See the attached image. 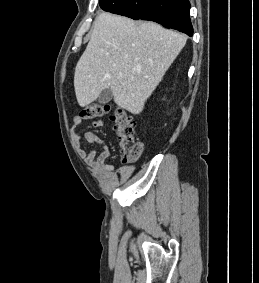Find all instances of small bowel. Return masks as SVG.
<instances>
[{
    "label": "small bowel",
    "instance_id": "obj_1",
    "mask_svg": "<svg viewBox=\"0 0 259 283\" xmlns=\"http://www.w3.org/2000/svg\"><path fill=\"white\" fill-rule=\"evenodd\" d=\"M82 124V118L80 116H75L72 120L73 128H78ZM103 122L101 120L96 121L94 125L100 126ZM74 138L79 140V135L74 134ZM84 139L89 144L93 145L95 148L86 154V162L102 172L109 174L113 171V166L107 163V158L109 157L110 150L109 147L105 144V142L95 133L91 131H86L84 133ZM124 171H120L118 173L119 176H122Z\"/></svg>",
    "mask_w": 259,
    "mask_h": 283
}]
</instances>
